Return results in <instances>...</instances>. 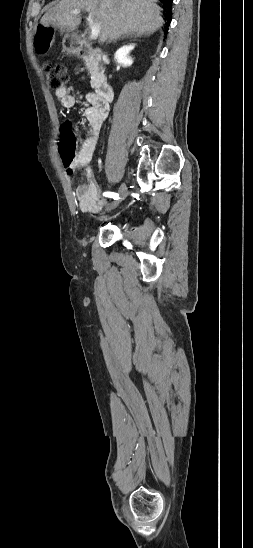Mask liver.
<instances>
[{
  "instance_id": "liver-1",
  "label": "liver",
  "mask_w": 253,
  "mask_h": 548,
  "mask_svg": "<svg viewBox=\"0 0 253 548\" xmlns=\"http://www.w3.org/2000/svg\"><path fill=\"white\" fill-rule=\"evenodd\" d=\"M75 9L98 19L100 44L126 34L150 35L164 24L154 0H61L48 9L41 25L74 31L81 23V18L72 14Z\"/></svg>"
}]
</instances>
